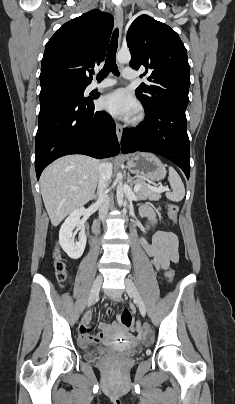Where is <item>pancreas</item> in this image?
<instances>
[{
	"label": "pancreas",
	"instance_id": "cf45deb5",
	"mask_svg": "<svg viewBox=\"0 0 235 404\" xmlns=\"http://www.w3.org/2000/svg\"><path fill=\"white\" fill-rule=\"evenodd\" d=\"M133 184L138 185L141 184L140 189L136 192L137 196L141 200L150 199L157 201L161 198L160 192L152 191L142 179H135Z\"/></svg>",
	"mask_w": 235,
	"mask_h": 404
}]
</instances>
